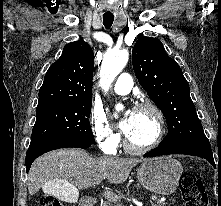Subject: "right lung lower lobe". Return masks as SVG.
I'll use <instances>...</instances> for the list:
<instances>
[{"label":"right lung lower lobe","mask_w":221,"mask_h":206,"mask_svg":"<svg viewBox=\"0 0 221 206\" xmlns=\"http://www.w3.org/2000/svg\"><path fill=\"white\" fill-rule=\"evenodd\" d=\"M93 143L80 140H69L55 143H49L29 148L26 154V170L29 171L32 162L40 155L59 148L76 147V148H89Z\"/></svg>","instance_id":"obj_1"}]
</instances>
